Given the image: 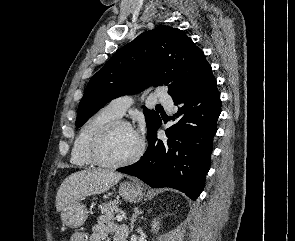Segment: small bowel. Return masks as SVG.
<instances>
[{
    "label": "small bowel",
    "mask_w": 295,
    "mask_h": 241,
    "mask_svg": "<svg viewBox=\"0 0 295 241\" xmlns=\"http://www.w3.org/2000/svg\"><path fill=\"white\" fill-rule=\"evenodd\" d=\"M87 241H105L108 236L113 237V241H126L128 229L118 225L105 216H100L92 228L91 234H85Z\"/></svg>",
    "instance_id": "1"
}]
</instances>
